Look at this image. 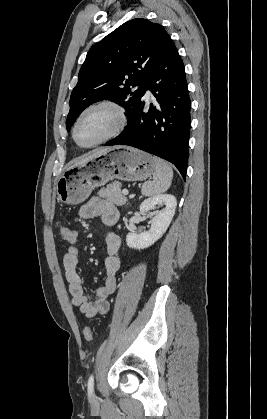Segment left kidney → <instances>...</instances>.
<instances>
[{
  "mask_svg": "<svg viewBox=\"0 0 267 419\" xmlns=\"http://www.w3.org/2000/svg\"><path fill=\"white\" fill-rule=\"evenodd\" d=\"M156 206H162V210L157 211L150 217L151 228L140 234L128 233L126 236L127 246L134 249H144L153 245L168 229L175 214L177 201L171 194H161L144 200L140 205L142 214L148 213Z\"/></svg>",
  "mask_w": 267,
  "mask_h": 419,
  "instance_id": "left-kidney-1",
  "label": "left kidney"
}]
</instances>
